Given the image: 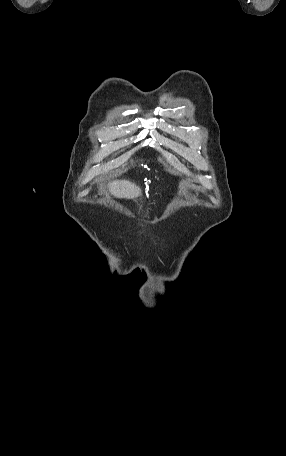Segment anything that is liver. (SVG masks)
Returning a JSON list of instances; mask_svg holds the SVG:
<instances>
[{
    "mask_svg": "<svg viewBox=\"0 0 286 456\" xmlns=\"http://www.w3.org/2000/svg\"><path fill=\"white\" fill-rule=\"evenodd\" d=\"M110 193L117 198L134 199L141 196V189L127 180H116L109 184Z\"/></svg>",
    "mask_w": 286,
    "mask_h": 456,
    "instance_id": "6515ba94",
    "label": "liver"
}]
</instances>
